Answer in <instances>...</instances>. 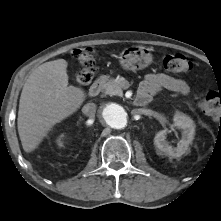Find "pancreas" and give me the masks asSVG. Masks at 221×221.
<instances>
[{
  "instance_id": "obj_1",
  "label": "pancreas",
  "mask_w": 221,
  "mask_h": 221,
  "mask_svg": "<svg viewBox=\"0 0 221 221\" xmlns=\"http://www.w3.org/2000/svg\"><path fill=\"white\" fill-rule=\"evenodd\" d=\"M102 91L106 95H121L122 94V80L119 79H107L102 82Z\"/></svg>"
}]
</instances>
